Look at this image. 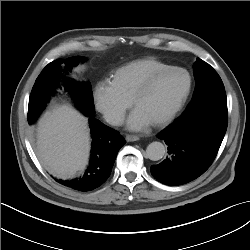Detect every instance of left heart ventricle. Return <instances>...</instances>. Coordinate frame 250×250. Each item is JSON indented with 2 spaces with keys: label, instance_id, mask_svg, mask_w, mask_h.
Segmentation results:
<instances>
[{
  "label": "left heart ventricle",
  "instance_id": "obj_1",
  "mask_svg": "<svg viewBox=\"0 0 250 250\" xmlns=\"http://www.w3.org/2000/svg\"><path fill=\"white\" fill-rule=\"evenodd\" d=\"M187 76L180 71L166 73L152 89L140 98L136 108L153 123L164 117L176 105L187 87Z\"/></svg>",
  "mask_w": 250,
  "mask_h": 250
}]
</instances>
